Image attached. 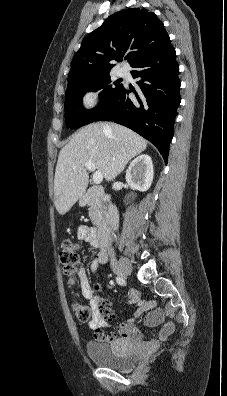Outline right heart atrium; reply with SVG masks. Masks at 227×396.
Masks as SVG:
<instances>
[{"mask_svg":"<svg viewBox=\"0 0 227 396\" xmlns=\"http://www.w3.org/2000/svg\"><path fill=\"white\" fill-rule=\"evenodd\" d=\"M82 106L85 110L91 111L97 107L100 102V91L98 89H88L81 98Z\"/></svg>","mask_w":227,"mask_h":396,"instance_id":"d8ad5b80","label":"right heart atrium"}]
</instances>
